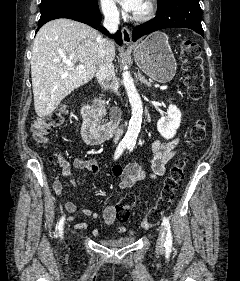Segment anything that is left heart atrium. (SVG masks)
<instances>
[{
  "instance_id": "obj_1",
  "label": "left heart atrium",
  "mask_w": 240,
  "mask_h": 281,
  "mask_svg": "<svg viewBox=\"0 0 240 281\" xmlns=\"http://www.w3.org/2000/svg\"><path fill=\"white\" fill-rule=\"evenodd\" d=\"M118 1L125 10L132 13H136L143 4V0H118Z\"/></svg>"
}]
</instances>
